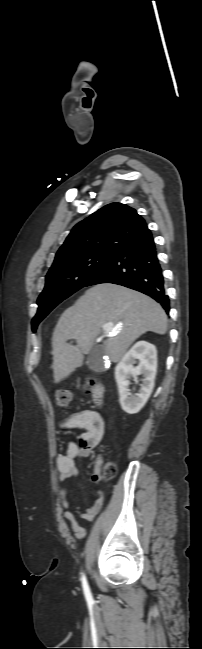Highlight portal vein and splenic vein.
Listing matches in <instances>:
<instances>
[{"mask_svg": "<svg viewBox=\"0 0 202 649\" xmlns=\"http://www.w3.org/2000/svg\"><path fill=\"white\" fill-rule=\"evenodd\" d=\"M104 332H105L106 334H111V333H112V327H111L110 324H107V325L105 326V328H104Z\"/></svg>", "mask_w": 202, "mask_h": 649, "instance_id": "18ae733b", "label": "portal vein and splenic vein"}]
</instances>
